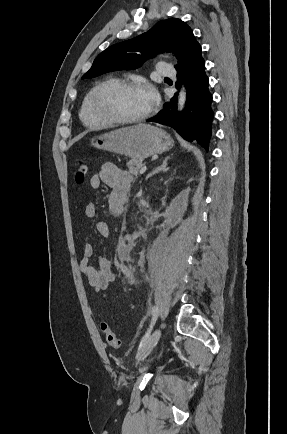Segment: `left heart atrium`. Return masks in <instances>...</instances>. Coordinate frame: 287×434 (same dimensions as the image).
<instances>
[{
  "label": "left heart atrium",
  "mask_w": 287,
  "mask_h": 434,
  "mask_svg": "<svg viewBox=\"0 0 287 434\" xmlns=\"http://www.w3.org/2000/svg\"><path fill=\"white\" fill-rule=\"evenodd\" d=\"M143 92L148 104L149 109L153 108L158 103V94L151 85H145Z\"/></svg>",
  "instance_id": "left-heart-atrium-1"
}]
</instances>
